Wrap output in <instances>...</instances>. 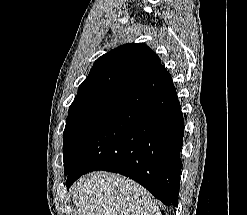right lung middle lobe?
<instances>
[{"label":"right lung middle lobe","mask_w":247,"mask_h":215,"mask_svg":"<svg viewBox=\"0 0 247 215\" xmlns=\"http://www.w3.org/2000/svg\"><path fill=\"white\" fill-rule=\"evenodd\" d=\"M129 92V88H108L77 93L69 107L63 133L65 174L70 169L72 156L83 135L114 109Z\"/></svg>","instance_id":"1"}]
</instances>
